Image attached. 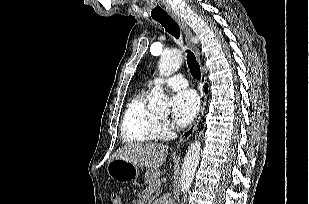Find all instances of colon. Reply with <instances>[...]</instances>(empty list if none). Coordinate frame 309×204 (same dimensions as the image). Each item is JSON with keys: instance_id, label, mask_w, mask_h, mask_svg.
I'll use <instances>...</instances> for the list:
<instances>
[{"instance_id": "colon-1", "label": "colon", "mask_w": 309, "mask_h": 204, "mask_svg": "<svg viewBox=\"0 0 309 204\" xmlns=\"http://www.w3.org/2000/svg\"><path fill=\"white\" fill-rule=\"evenodd\" d=\"M112 202L113 204H122V196L118 192H114L112 194Z\"/></svg>"}]
</instances>
